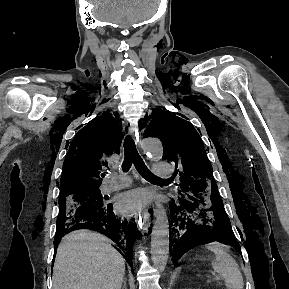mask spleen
<instances>
[{
  "instance_id": "1",
  "label": "spleen",
  "mask_w": 289,
  "mask_h": 289,
  "mask_svg": "<svg viewBox=\"0 0 289 289\" xmlns=\"http://www.w3.org/2000/svg\"><path fill=\"white\" fill-rule=\"evenodd\" d=\"M205 248L214 253L211 265L219 278L224 280L227 289H243V276L236 260L227 252L225 246L219 242H211Z\"/></svg>"
}]
</instances>
